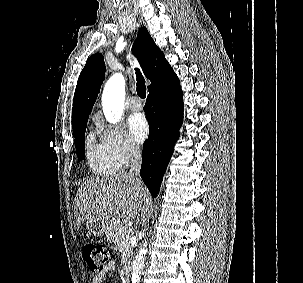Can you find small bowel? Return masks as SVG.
<instances>
[{"label": "small bowel", "instance_id": "1", "mask_svg": "<svg viewBox=\"0 0 303 283\" xmlns=\"http://www.w3.org/2000/svg\"><path fill=\"white\" fill-rule=\"evenodd\" d=\"M113 269H114V263L113 262L108 263L107 265H105L102 271H100L93 277L92 283H103L106 274L112 271Z\"/></svg>", "mask_w": 303, "mask_h": 283}]
</instances>
